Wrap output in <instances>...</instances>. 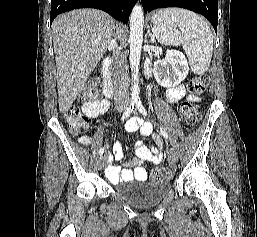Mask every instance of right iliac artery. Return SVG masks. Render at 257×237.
<instances>
[{
    "instance_id": "obj_1",
    "label": "right iliac artery",
    "mask_w": 257,
    "mask_h": 237,
    "mask_svg": "<svg viewBox=\"0 0 257 237\" xmlns=\"http://www.w3.org/2000/svg\"><path fill=\"white\" fill-rule=\"evenodd\" d=\"M133 109H134V103L132 102V103H130V105L126 108L125 112H124L123 115H122L121 120L127 119V118L130 116V114L132 113ZM104 149H105L104 147H102V148L100 149V151H99V155H100V156L103 155Z\"/></svg>"
}]
</instances>
